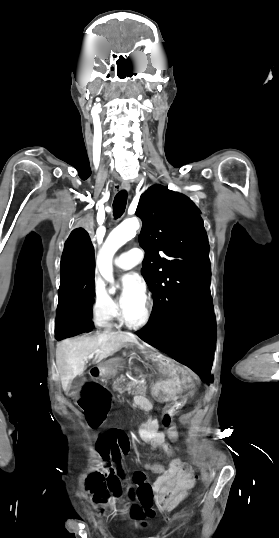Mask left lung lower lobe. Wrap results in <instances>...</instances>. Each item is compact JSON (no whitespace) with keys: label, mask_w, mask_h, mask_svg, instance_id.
<instances>
[{"label":"left lung lower lobe","mask_w":279,"mask_h":538,"mask_svg":"<svg viewBox=\"0 0 279 538\" xmlns=\"http://www.w3.org/2000/svg\"><path fill=\"white\" fill-rule=\"evenodd\" d=\"M216 319L210 291L198 295L166 326L137 331V335L190 367L204 380L209 379L216 341Z\"/></svg>","instance_id":"1"}]
</instances>
